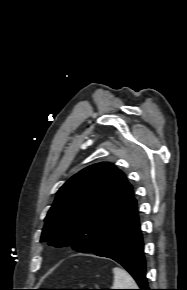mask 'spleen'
<instances>
[{"label":"spleen","mask_w":187,"mask_h":290,"mask_svg":"<svg viewBox=\"0 0 187 290\" xmlns=\"http://www.w3.org/2000/svg\"><path fill=\"white\" fill-rule=\"evenodd\" d=\"M114 282L112 289H137V284L129 273L115 267L113 269Z\"/></svg>","instance_id":"1"}]
</instances>
